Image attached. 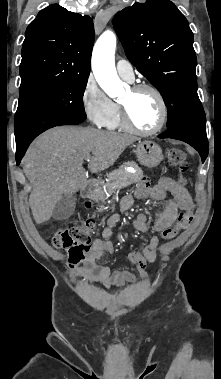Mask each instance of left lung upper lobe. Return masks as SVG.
<instances>
[{
    "instance_id": "left-lung-upper-lobe-1",
    "label": "left lung upper lobe",
    "mask_w": 221,
    "mask_h": 379,
    "mask_svg": "<svg viewBox=\"0 0 221 379\" xmlns=\"http://www.w3.org/2000/svg\"><path fill=\"white\" fill-rule=\"evenodd\" d=\"M113 24L130 62L161 93L168 108L167 130L189 128L206 134L193 33L174 3H135L118 12Z\"/></svg>"
}]
</instances>
